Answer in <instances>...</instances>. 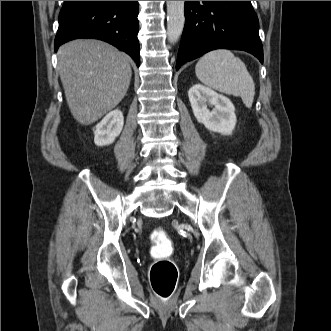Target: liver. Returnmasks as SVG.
I'll return each instance as SVG.
<instances>
[{
  "instance_id": "obj_1",
  "label": "liver",
  "mask_w": 331,
  "mask_h": 331,
  "mask_svg": "<svg viewBox=\"0 0 331 331\" xmlns=\"http://www.w3.org/2000/svg\"><path fill=\"white\" fill-rule=\"evenodd\" d=\"M58 67L71 114L83 125L96 122L121 102L132 75L126 55L92 39L62 45Z\"/></svg>"
}]
</instances>
